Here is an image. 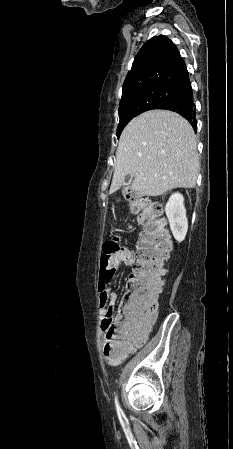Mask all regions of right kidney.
<instances>
[{"instance_id":"obj_1","label":"right kidney","mask_w":233,"mask_h":449,"mask_svg":"<svg viewBox=\"0 0 233 449\" xmlns=\"http://www.w3.org/2000/svg\"><path fill=\"white\" fill-rule=\"evenodd\" d=\"M166 216L170 223V229L178 242L185 239L188 230V220L184 206V197L180 193L170 196L165 207Z\"/></svg>"}]
</instances>
